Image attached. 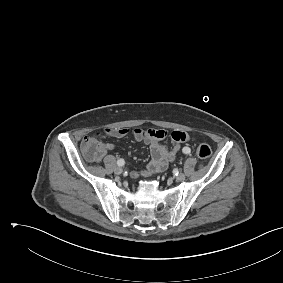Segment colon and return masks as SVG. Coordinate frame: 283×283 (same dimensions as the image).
Listing matches in <instances>:
<instances>
[{
    "label": "colon",
    "instance_id": "obj_1",
    "mask_svg": "<svg viewBox=\"0 0 283 283\" xmlns=\"http://www.w3.org/2000/svg\"><path fill=\"white\" fill-rule=\"evenodd\" d=\"M103 132H97L92 136H87L82 141V149L86 157L90 161H97L103 155V145L100 142V138L103 136ZM197 156L200 159H208L211 155V148L207 144H200L196 150Z\"/></svg>",
    "mask_w": 283,
    "mask_h": 283
}]
</instances>
